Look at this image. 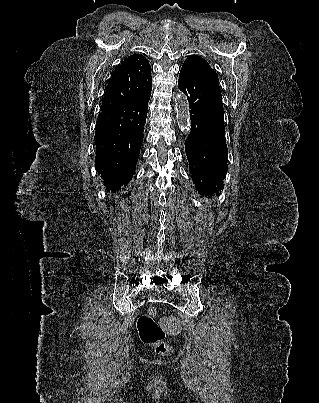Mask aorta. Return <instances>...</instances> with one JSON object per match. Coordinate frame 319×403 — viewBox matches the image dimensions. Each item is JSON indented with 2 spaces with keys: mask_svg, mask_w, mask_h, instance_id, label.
Returning a JSON list of instances; mask_svg holds the SVG:
<instances>
[{
  "mask_svg": "<svg viewBox=\"0 0 319 403\" xmlns=\"http://www.w3.org/2000/svg\"><path fill=\"white\" fill-rule=\"evenodd\" d=\"M174 110L178 127L183 133L188 134L191 128V121L189 103L185 94L178 93L174 97Z\"/></svg>",
  "mask_w": 319,
  "mask_h": 403,
  "instance_id": "obj_1",
  "label": "aorta"
}]
</instances>
